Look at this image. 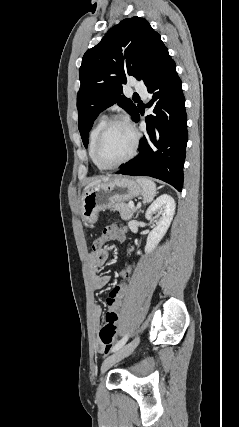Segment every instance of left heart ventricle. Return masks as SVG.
<instances>
[{"mask_svg":"<svg viewBox=\"0 0 239 427\" xmlns=\"http://www.w3.org/2000/svg\"><path fill=\"white\" fill-rule=\"evenodd\" d=\"M134 137L124 125L112 127L105 135L99 155L103 162L114 164L124 159L131 151Z\"/></svg>","mask_w":239,"mask_h":427,"instance_id":"1","label":"left heart ventricle"}]
</instances>
